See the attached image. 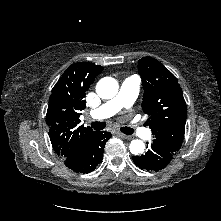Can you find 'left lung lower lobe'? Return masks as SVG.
<instances>
[{"label": "left lung lower lobe", "instance_id": "obj_1", "mask_svg": "<svg viewBox=\"0 0 221 221\" xmlns=\"http://www.w3.org/2000/svg\"><path fill=\"white\" fill-rule=\"evenodd\" d=\"M175 153L152 143L144 155L133 156V162L141 169L159 171L171 162Z\"/></svg>", "mask_w": 221, "mask_h": 221}]
</instances>
